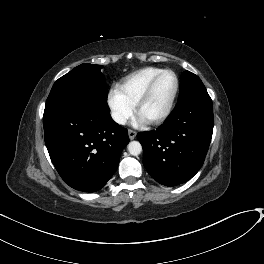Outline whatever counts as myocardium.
I'll return each instance as SVG.
<instances>
[{"label": "myocardium", "instance_id": "1", "mask_svg": "<svg viewBox=\"0 0 264 264\" xmlns=\"http://www.w3.org/2000/svg\"><path fill=\"white\" fill-rule=\"evenodd\" d=\"M167 73L171 74L174 77V80H175L174 90L172 92V95H171L169 102H168L166 108L164 109V111L161 114H159L157 117H155L151 120H146V123H148L150 125H157V124L162 123L172 112V109H173V106H174V103L176 101L178 91H179V79H178V76L176 75V73L173 72L172 70H169V69L162 70L155 77H153V79L149 82V84L147 85V87L145 88V90L143 91V93L138 98L137 102L135 103V109H136V112L138 113L141 106L151 96L153 89H154L155 85L157 84L158 80L160 79V77L164 74H167Z\"/></svg>", "mask_w": 264, "mask_h": 264}]
</instances>
